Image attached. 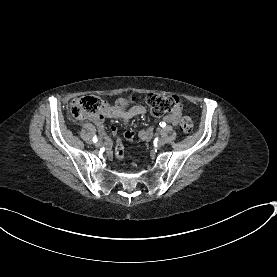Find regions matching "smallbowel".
I'll return each mask as SVG.
<instances>
[{
    "mask_svg": "<svg viewBox=\"0 0 277 277\" xmlns=\"http://www.w3.org/2000/svg\"><path fill=\"white\" fill-rule=\"evenodd\" d=\"M146 108L143 105H135L131 107L129 110L124 111L119 109L117 106L110 105L107 102L102 103L101 110L93 115H89L87 118L94 124H96L98 131L101 135H105L106 129L104 126V120L107 118H114L122 121L123 123L127 124L132 118L143 116L146 114ZM180 113L175 112L168 114L164 117V121L166 123H169L171 125H177L179 122ZM111 134L116 135L119 132L118 127L113 126L110 129ZM124 137L127 140H130L134 138L135 133L134 129L131 126H127L124 129ZM153 136V128L149 127L145 130H142L139 132V138L142 140H150ZM103 144L102 149L105 156L108 158H112L114 156L113 150H112V140L110 136L105 135L102 138Z\"/></svg>",
    "mask_w": 277,
    "mask_h": 277,
    "instance_id": "obj_1",
    "label": "small bowel"
}]
</instances>
